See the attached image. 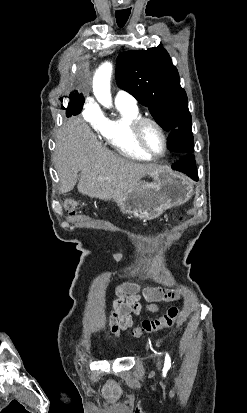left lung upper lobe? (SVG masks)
<instances>
[{"label": "left lung upper lobe", "mask_w": 247, "mask_h": 413, "mask_svg": "<svg viewBox=\"0 0 247 413\" xmlns=\"http://www.w3.org/2000/svg\"><path fill=\"white\" fill-rule=\"evenodd\" d=\"M116 82L147 107L157 123L170 133L167 144L170 151L194 152L187 95L163 47L121 53L117 58Z\"/></svg>", "instance_id": "obj_1"}]
</instances>
